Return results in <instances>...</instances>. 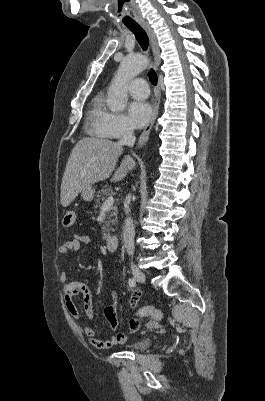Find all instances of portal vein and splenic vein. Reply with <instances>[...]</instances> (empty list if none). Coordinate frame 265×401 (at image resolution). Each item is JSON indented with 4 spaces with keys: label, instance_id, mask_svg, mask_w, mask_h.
<instances>
[{
    "label": "portal vein and splenic vein",
    "instance_id": "18ae733b",
    "mask_svg": "<svg viewBox=\"0 0 265 401\" xmlns=\"http://www.w3.org/2000/svg\"><path fill=\"white\" fill-rule=\"evenodd\" d=\"M113 203H114L113 196H108L107 201H105L102 209H106V207H111V205H113Z\"/></svg>",
    "mask_w": 265,
    "mask_h": 401
}]
</instances>
